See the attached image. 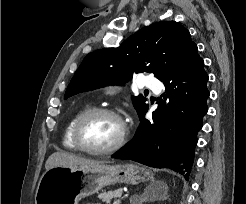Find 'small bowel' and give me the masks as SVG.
Instances as JSON below:
<instances>
[{
    "mask_svg": "<svg viewBox=\"0 0 246 204\" xmlns=\"http://www.w3.org/2000/svg\"><path fill=\"white\" fill-rule=\"evenodd\" d=\"M89 204H100V203H89Z\"/></svg>",
    "mask_w": 246,
    "mask_h": 204,
    "instance_id": "1",
    "label": "small bowel"
}]
</instances>
